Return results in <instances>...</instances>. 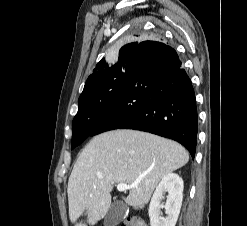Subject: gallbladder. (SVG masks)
<instances>
[{"label": "gallbladder", "mask_w": 247, "mask_h": 226, "mask_svg": "<svg viewBox=\"0 0 247 226\" xmlns=\"http://www.w3.org/2000/svg\"><path fill=\"white\" fill-rule=\"evenodd\" d=\"M127 206L122 201L115 200L104 219V226H117L123 221Z\"/></svg>", "instance_id": "1"}]
</instances>
